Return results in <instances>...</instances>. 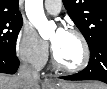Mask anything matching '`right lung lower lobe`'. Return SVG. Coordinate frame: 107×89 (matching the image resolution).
Segmentation results:
<instances>
[{
    "label": "right lung lower lobe",
    "mask_w": 107,
    "mask_h": 89,
    "mask_svg": "<svg viewBox=\"0 0 107 89\" xmlns=\"http://www.w3.org/2000/svg\"><path fill=\"white\" fill-rule=\"evenodd\" d=\"M19 60L16 56H9L0 53V72L14 74L19 67Z\"/></svg>",
    "instance_id": "98d812e1"
}]
</instances>
